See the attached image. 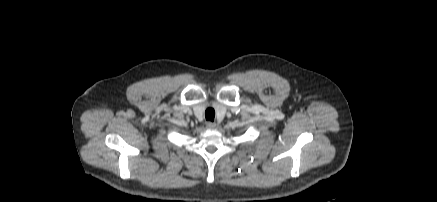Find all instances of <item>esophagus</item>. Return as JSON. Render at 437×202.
<instances>
[{
  "instance_id": "34e87169",
  "label": "esophagus",
  "mask_w": 437,
  "mask_h": 202,
  "mask_svg": "<svg viewBox=\"0 0 437 202\" xmlns=\"http://www.w3.org/2000/svg\"><path fill=\"white\" fill-rule=\"evenodd\" d=\"M207 127H208V128H214V127H215V124H213V123H211V122H208V123H207Z\"/></svg>"
}]
</instances>
